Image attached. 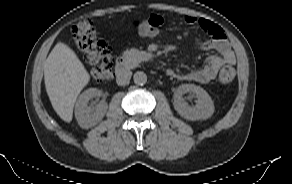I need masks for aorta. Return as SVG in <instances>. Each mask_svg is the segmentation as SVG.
<instances>
[{"label": "aorta", "instance_id": "1", "mask_svg": "<svg viewBox=\"0 0 292 184\" xmlns=\"http://www.w3.org/2000/svg\"><path fill=\"white\" fill-rule=\"evenodd\" d=\"M134 83L144 85L147 82V75L143 71H137L133 76Z\"/></svg>", "mask_w": 292, "mask_h": 184}]
</instances>
